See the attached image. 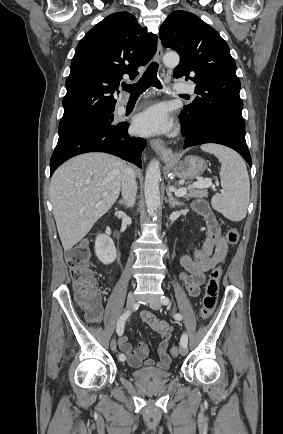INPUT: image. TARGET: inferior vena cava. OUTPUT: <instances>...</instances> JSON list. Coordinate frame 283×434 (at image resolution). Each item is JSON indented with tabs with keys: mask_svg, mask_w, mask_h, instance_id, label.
Masks as SVG:
<instances>
[{
	"mask_svg": "<svg viewBox=\"0 0 283 434\" xmlns=\"http://www.w3.org/2000/svg\"><path fill=\"white\" fill-rule=\"evenodd\" d=\"M121 193L123 202L127 207H132L135 203L137 184L135 181V171L126 167L122 176Z\"/></svg>",
	"mask_w": 283,
	"mask_h": 434,
	"instance_id": "obj_1",
	"label": "inferior vena cava"
}]
</instances>
